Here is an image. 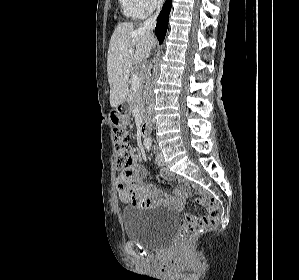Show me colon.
Wrapping results in <instances>:
<instances>
[{"mask_svg": "<svg viewBox=\"0 0 299 280\" xmlns=\"http://www.w3.org/2000/svg\"><path fill=\"white\" fill-rule=\"evenodd\" d=\"M129 142V133L122 128L114 129V143L116 148V158L119 167H128L131 163V156L127 146ZM201 203L212 205L209 199H201ZM219 218L217 207L213 206L212 210L202 217H188L180 234L181 246H186L190 241L200 234L204 229L213 225Z\"/></svg>", "mask_w": 299, "mask_h": 280, "instance_id": "1", "label": "colon"}]
</instances>
